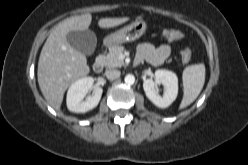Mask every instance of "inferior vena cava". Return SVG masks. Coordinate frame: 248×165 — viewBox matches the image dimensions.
Returning a JSON list of instances; mask_svg holds the SVG:
<instances>
[{
    "mask_svg": "<svg viewBox=\"0 0 248 165\" xmlns=\"http://www.w3.org/2000/svg\"><path fill=\"white\" fill-rule=\"evenodd\" d=\"M120 74L121 72L119 70H115V69H112V70H107L105 72V75L106 77L109 79V80H114V79H117L120 77Z\"/></svg>",
    "mask_w": 248,
    "mask_h": 165,
    "instance_id": "1",
    "label": "inferior vena cava"
}]
</instances>
